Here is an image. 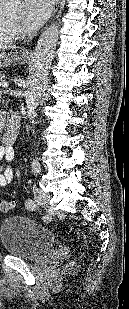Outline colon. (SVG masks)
Masks as SVG:
<instances>
[{
	"mask_svg": "<svg viewBox=\"0 0 129 309\" xmlns=\"http://www.w3.org/2000/svg\"><path fill=\"white\" fill-rule=\"evenodd\" d=\"M16 206V203L13 201H6L3 199H0V212L2 213H8L10 212L12 209H14ZM75 266L74 262L69 263V267H73Z\"/></svg>",
	"mask_w": 129,
	"mask_h": 309,
	"instance_id": "5ec220e1",
	"label": "colon"
}]
</instances>
